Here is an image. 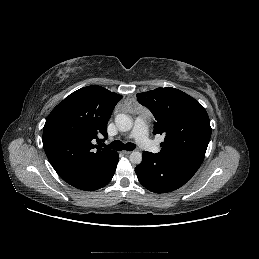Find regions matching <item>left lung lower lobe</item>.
I'll return each instance as SVG.
<instances>
[{
    "label": "left lung lower lobe",
    "mask_w": 259,
    "mask_h": 259,
    "mask_svg": "<svg viewBox=\"0 0 259 259\" xmlns=\"http://www.w3.org/2000/svg\"><path fill=\"white\" fill-rule=\"evenodd\" d=\"M198 168L143 152L142 162L135 168L139 182L155 193L178 189L196 173Z\"/></svg>",
    "instance_id": "obj_1"
}]
</instances>
